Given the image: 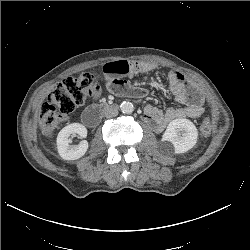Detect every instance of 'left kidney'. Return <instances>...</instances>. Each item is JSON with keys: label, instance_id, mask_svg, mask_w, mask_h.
<instances>
[{"label": "left kidney", "instance_id": "5707ae66", "mask_svg": "<svg viewBox=\"0 0 250 250\" xmlns=\"http://www.w3.org/2000/svg\"><path fill=\"white\" fill-rule=\"evenodd\" d=\"M198 139V132L189 119L172 120L162 136V141L176 154H183L192 149Z\"/></svg>", "mask_w": 250, "mask_h": 250}]
</instances>
